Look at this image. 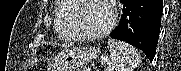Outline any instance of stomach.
Instances as JSON below:
<instances>
[{
  "label": "stomach",
  "instance_id": "obj_1",
  "mask_svg": "<svg viewBox=\"0 0 181 71\" xmlns=\"http://www.w3.org/2000/svg\"><path fill=\"white\" fill-rule=\"evenodd\" d=\"M98 56L99 50L94 47L65 49L54 58L52 66L55 71H73Z\"/></svg>",
  "mask_w": 181,
  "mask_h": 71
}]
</instances>
